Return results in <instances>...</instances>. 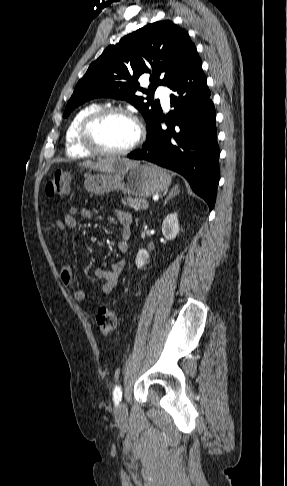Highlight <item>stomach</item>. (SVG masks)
Listing matches in <instances>:
<instances>
[{
    "mask_svg": "<svg viewBox=\"0 0 287 486\" xmlns=\"http://www.w3.org/2000/svg\"><path fill=\"white\" fill-rule=\"evenodd\" d=\"M170 183L171 177L163 169L138 162L124 165L114 173L90 175L85 179L84 187L96 194L121 190L128 195L145 198L167 190Z\"/></svg>",
    "mask_w": 287,
    "mask_h": 486,
    "instance_id": "1",
    "label": "stomach"
}]
</instances>
